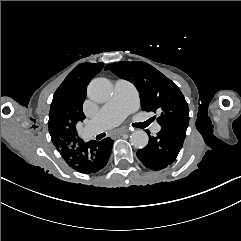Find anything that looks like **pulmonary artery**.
I'll list each match as a JSON object with an SVG mask.
<instances>
[{"instance_id": "1", "label": "pulmonary artery", "mask_w": 241, "mask_h": 241, "mask_svg": "<svg viewBox=\"0 0 241 241\" xmlns=\"http://www.w3.org/2000/svg\"><path fill=\"white\" fill-rule=\"evenodd\" d=\"M136 101L137 94L134 92L132 85L129 82H125L121 86L120 82H117L115 85V94L101 108L102 113L96 115L88 122V131L96 134L100 131H107L112 126L119 124L132 111L131 105ZM149 127L152 133H157L162 129L159 123L151 124Z\"/></svg>"}]
</instances>
